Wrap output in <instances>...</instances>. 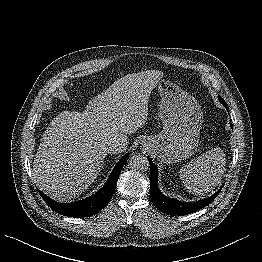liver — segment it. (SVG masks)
I'll list each match as a JSON object with an SVG mask.
<instances>
[{
    "mask_svg": "<svg viewBox=\"0 0 262 262\" xmlns=\"http://www.w3.org/2000/svg\"><path fill=\"white\" fill-rule=\"evenodd\" d=\"M164 73L127 74L94 97L84 112L64 111L44 132L33 162L34 183L52 199L81 195L98 176L108 145L127 140L148 116L151 91Z\"/></svg>",
    "mask_w": 262,
    "mask_h": 262,
    "instance_id": "obj_1",
    "label": "liver"
}]
</instances>
